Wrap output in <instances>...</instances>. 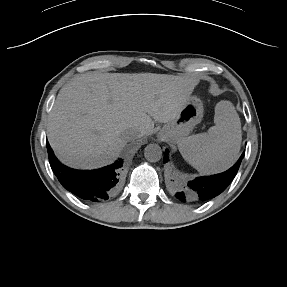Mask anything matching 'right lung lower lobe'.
<instances>
[{
  "instance_id": "obj_1",
  "label": "right lung lower lobe",
  "mask_w": 287,
  "mask_h": 287,
  "mask_svg": "<svg viewBox=\"0 0 287 287\" xmlns=\"http://www.w3.org/2000/svg\"><path fill=\"white\" fill-rule=\"evenodd\" d=\"M46 145L50 165L55 175L68 191L78 197L91 202H97L101 199L107 200L118 186L122 160L105 168L79 171L62 165L54 156L48 142Z\"/></svg>"
}]
</instances>
